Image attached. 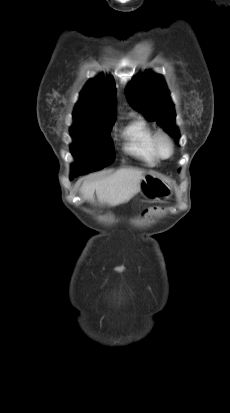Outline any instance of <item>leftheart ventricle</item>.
<instances>
[{
  "instance_id": "left-heart-ventricle-1",
  "label": "left heart ventricle",
  "mask_w": 230,
  "mask_h": 413,
  "mask_svg": "<svg viewBox=\"0 0 230 413\" xmlns=\"http://www.w3.org/2000/svg\"><path fill=\"white\" fill-rule=\"evenodd\" d=\"M162 151H163V153H165V154H167V153L169 152V149H168V147H167L165 144L162 145Z\"/></svg>"
}]
</instances>
